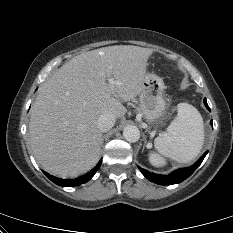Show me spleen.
<instances>
[{
    "label": "spleen",
    "mask_w": 233,
    "mask_h": 233,
    "mask_svg": "<svg viewBox=\"0 0 233 233\" xmlns=\"http://www.w3.org/2000/svg\"><path fill=\"white\" fill-rule=\"evenodd\" d=\"M204 143V124L198 110L188 104L177 106V116L154 141L157 153L150 154V163L156 167L166 164L168 157L179 163H188L200 153ZM162 155V156H161Z\"/></svg>",
    "instance_id": "obj_1"
}]
</instances>
